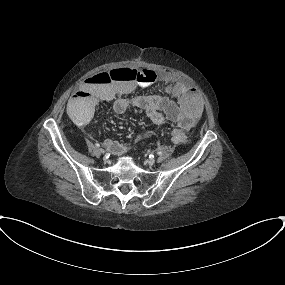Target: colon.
Returning a JSON list of instances; mask_svg holds the SVG:
<instances>
[{"label":"colon","mask_w":285,"mask_h":285,"mask_svg":"<svg viewBox=\"0 0 285 285\" xmlns=\"http://www.w3.org/2000/svg\"><path fill=\"white\" fill-rule=\"evenodd\" d=\"M142 74H145V77H143ZM111 75L113 78L121 79L123 81L130 82V83H135L138 81H153L157 77L156 73L154 72H148V71H143L140 69H132V68L114 70L111 73ZM100 78L103 83L107 84L110 82V79L107 78L105 75H101ZM178 137L180 141L185 140L182 135H179Z\"/></svg>","instance_id":"5ec220e1"}]
</instances>
